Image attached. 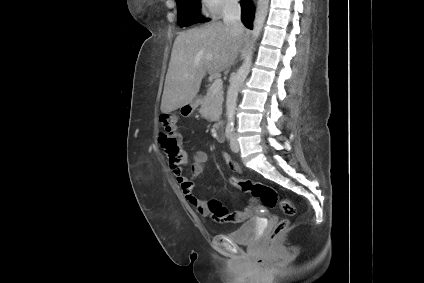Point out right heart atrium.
Segmentation results:
<instances>
[{"label": "right heart atrium", "instance_id": "obj_1", "mask_svg": "<svg viewBox=\"0 0 424 283\" xmlns=\"http://www.w3.org/2000/svg\"><path fill=\"white\" fill-rule=\"evenodd\" d=\"M239 0H200L203 11L212 16H221L223 13L237 7Z\"/></svg>", "mask_w": 424, "mask_h": 283}]
</instances>
